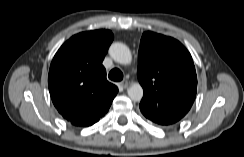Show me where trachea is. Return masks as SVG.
I'll list each match as a JSON object with an SVG mask.
<instances>
[{
  "instance_id": "obj_1",
  "label": "trachea",
  "mask_w": 244,
  "mask_h": 157,
  "mask_svg": "<svg viewBox=\"0 0 244 157\" xmlns=\"http://www.w3.org/2000/svg\"><path fill=\"white\" fill-rule=\"evenodd\" d=\"M109 79L115 82H119L123 79V73L120 69L114 68L109 73Z\"/></svg>"
}]
</instances>
